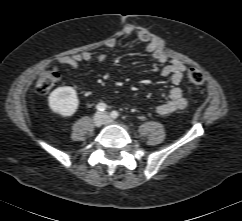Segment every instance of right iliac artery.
<instances>
[{"mask_svg":"<svg viewBox=\"0 0 242 221\" xmlns=\"http://www.w3.org/2000/svg\"><path fill=\"white\" fill-rule=\"evenodd\" d=\"M106 108H107V105L104 104V103H99V104L96 105V109L98 111H104V110H106Z\"/></svg>","mask_w":242,"mask_h":221,"instance_id":"obj_1","label":"right iliac artery"}]
</instances>
